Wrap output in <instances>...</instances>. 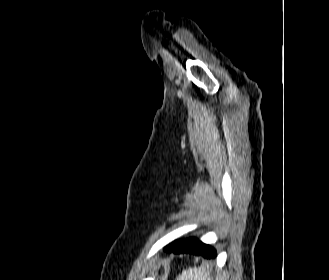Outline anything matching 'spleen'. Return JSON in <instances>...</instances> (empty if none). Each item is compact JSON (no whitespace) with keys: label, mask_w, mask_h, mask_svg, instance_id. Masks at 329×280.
<instances>
[{"label":"spleen","mask_w":329,"mask_h":280,"mask_svg":"<svg viewBox=\"0 0 329 280\" xmlns=\"http://www.w3.org/2000/svg\"><path fill=\"white\" fill-rule=\"evenodd\" d=\"M176 280H211L210 273L204 266L183 270Z\"/></svg>","instance_id":"3e777b00"}]
</instances>
